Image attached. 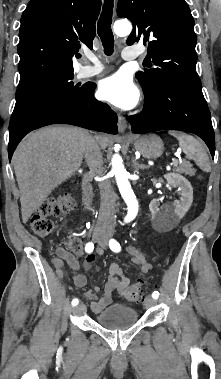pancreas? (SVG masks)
Listing matches in <instances>:
<instances>
[{"label": "pancreas", "instance_id": "pancreas-1", "mask_svg": "<svg viewBox=\"0 0 221 379\" xmlns=\"http://www.w3.org/2000/svg\"><path fill=\"white\" fill-rule=\"evenodd\" d=\"M190 167L191 164L188 162L180 163L175 166V171L188 174Z\"/></svg>", "mask_w": 221, "mask_h": 379}]
</instances>
